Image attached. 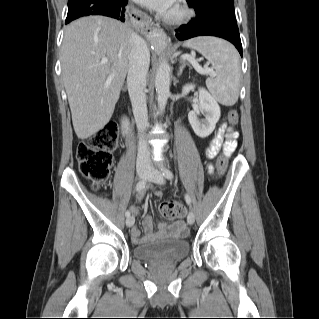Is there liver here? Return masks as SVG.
Listing matches in <instances>:
<instances>
[{
	"label": "liver",
	"instance_id": "obj_1",
	"mask_svg": "<svg viewBox=\"0 0 319 319\" xmlns=\"http://www.w3.org/2000/svg\"><path fill=\"white\" fill-rule=\"evenodd\" d=\"M132 33L104 16L83 17L65 28L61 69L78 138L96 134L111 119L129 67Z\"/></svg>",
	"mask_w": 319,
	"mask_h": 319
}]
</instances>
